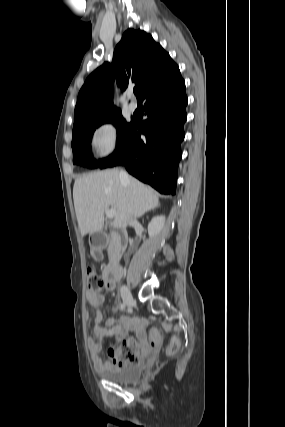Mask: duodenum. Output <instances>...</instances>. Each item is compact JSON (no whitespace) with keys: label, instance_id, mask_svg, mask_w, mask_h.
Instances as JSON below:
<instances>
[{"label":"duodenum","instance_id":"410a0bca","mask_svg":"<svg viewBox=\"0 0 285 427\" xmlns=\"http://www.w3.org/2000/svg\"><path fill=\"white\" fill-rule=\"evenodd\" d=\"M120 240L122 243L126 242V236L121 235ZM123 269L120 263V258L118 256L113 255L111 257V261L109 265L104 270V277L107 281H116L122 275Z\"/></svg>","mask_w":285,"mask_h":427}]
</instances>
